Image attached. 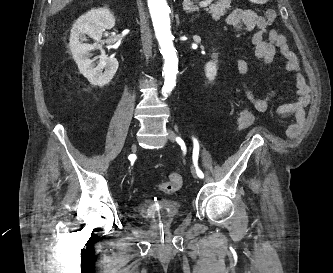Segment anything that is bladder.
<instances>
[{"mask_svg":"<svg viewBox=\"0 0 333 273\" xmlns=\"http://www.w3.org/2000/svg\"><path fill=\"white\" fill-rule=\"evenodd\" d=\"M137 211L154 226L169 227L179 218L180 205L175 200L163 199L156 203H141Z\"/></svg>","mask_w":333,"mask_h":273,"instance_id":"obj_1","label":"bladder"}]
</instances>
